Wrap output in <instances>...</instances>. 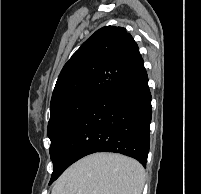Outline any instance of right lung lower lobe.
Instances as JSON below:
<instances>
[{
	"instance_id": "right-lung-lower-lobe-1",
	"label": "right lung lower lobe",
	"mask_w": 201,
	"mask_h": 194,
	"mask_svg": "<svg viewBox=\"0 0 201 194\" xmlns=\"http://www.w3.org/2000/svg\"><path fill=\"white\" fill-rule=\"evenodd\" d=\"M151 118V93L142 63L70 123L54 152L56 175L50 183L72 163L95 152L124 154L146 167Z\"/></svg>"
}]
</instances>
